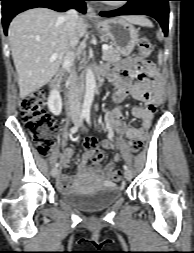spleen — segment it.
I'll list each match as a JSON object with an SVG mask.
<instances>
[{
  "instance_id": "obj_1",
  "label": "spleen",
  "mask_w": 194,
  "mask_h": 253,
  "mask_svg": "<svg viewBox=\"0 0 194 253\" xmlns=\"http://www.w3.org/2000/svg\"><path fill=\"white\" fill-rule=\"evenodd\" d=\"M161 59H162V54H161V51H160L159 54H158L159 64H161Z\"/></svg>"
}]
</instances>
